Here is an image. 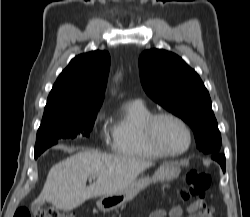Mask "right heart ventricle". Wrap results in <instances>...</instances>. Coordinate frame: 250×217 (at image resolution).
I'll list each match as a JSON object with an SVG mask.
<instances>
[{"mask_svg":"<svg viewBox=\"0 0 250 217\" xmlns=\"http://www.w3.org/2000/svg\"><path fill=\"white\" fill-rule=\"evenodd\" d=\"M152 114L140 100L125 103L110 125L112 150L119 155L139 159L163 157L149 145L144 135V122Z\"/></svg>","mask_w":250,"mask_h":217,"instance_id":"e07e8e85","label":"right heart ventricle"}]
</instances>
